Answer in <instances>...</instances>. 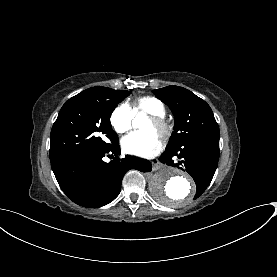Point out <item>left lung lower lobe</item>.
I'll list each match as a JSON object with an SVG mask.
<instances>
[{
    "mask_svg": "<svg viewBox=\"0 0 277 277\" xmlns=\"http://www.w3.org/2000/svg\"><path fill=\"white\" fill-rule=\"evenodd\" d=\"M181 161L174 164L172 157ZM219 159V134H208L192 138L175 149H166L159 160L170 166L182 165L196 183V195L199 197L210 184ZM184 170L183 168H180Z\"/></svg>",
    "mask_w": 277,
    "mask_h": 277,
    "instance_id": "1",
    "label": "left lung lower lobe"
}]
</instances>
